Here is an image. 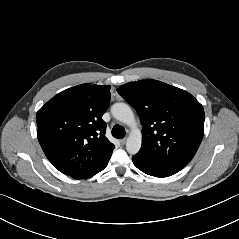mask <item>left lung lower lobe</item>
Returning <instances> with one entry per match:
<instances>
[{
	"label": "left lung lower lobe",
	"mask_w": 239,
	"mask_h": 239,
	"mask_svg": "<svg viewBox=\"0 0 239 239\" xmlns=\"http://www.w3.org/2000/svg\"><path fill=\"white\" fill-rule=\"evenodd\" d=\"M134 165L141 170L142 172L155 176V177H168L171 176L178 171L166 168L164 166H161L159 164L153 163L148 160H144L141 157L134 155L132 157Z\"/></svg>",
	"instance_id": "0a47b994"
}]
</instances>
